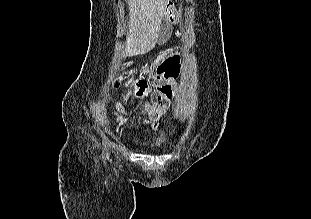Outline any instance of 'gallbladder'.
Here are the masks:
<instances>
[{"instance_id":"bac80fb5","label":"gallbladder","mask_w":311,"mask_h":219,"mask_svg":"<svg viewBox=\"0 0 311 219\" xmlns=\"http://www.w3.org/2000/svg\"><path fill=\"white\" fill-rule=\"evenodd\" d=\"M171 34H172V27L169 21L163 18L160 24L159 32H158V39H157L158 43L160 44L166 43L171 37Z\"/></svg>"}]
</instances>
